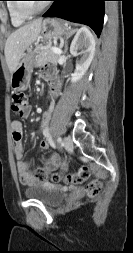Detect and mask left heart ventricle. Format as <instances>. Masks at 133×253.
Wrapping results in <instances>:
<instances>
[{"label":"left heart ventricle","mask_w":133,"mask_h":253,"mask_svg":"<svg viewBox=\"0 0 133 253\" xmlns=\"http://www.w3.org/2000/svg\"><path fill=\"white\" fill-rule=\"evenodd\" d=\"M24 6L30 10H34V9H37L38 7H40L43 2L42 1H34V2H26V3H23Z\"/></svg>","instance_id":"obj_1"}]
</instances>
